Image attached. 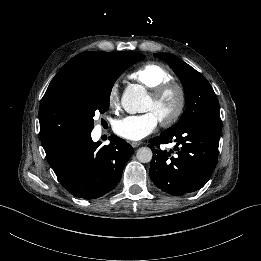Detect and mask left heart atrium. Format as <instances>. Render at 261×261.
Listing matches in <instances>:
<instances>
[{
	"instance_id": "obj_1",
	"label": "left heart atrium",
	"mask_w": 261,
	"mask_h": 261,
	"mask_svg": "<svg viewBox=\"0 0 261 261\" xmlns=\"http://www.w3.org/2000/svg\"><path fill=\"white\" fill-rule=\"evenodd\" d=\"M158 117L148 111L141 115L126 116L117 120L113 125L116 135L129 141H139L151 134L157 127Z\"/></svg>"
}]
</instances>
